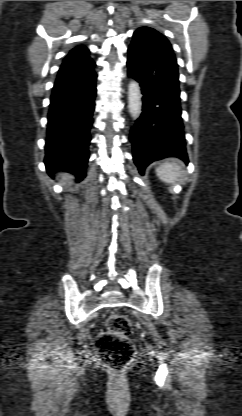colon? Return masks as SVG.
I'll return each mask as SVG.
<instances>
[{
  "mask_svg": "<svg viewBox=\"0 0 242 416\" xmlns=\"http://www.w3.org/2000/svg\"><path fill=\"white\" fill-rule=\"evenodd\" d=\"M132 323L122 313H112L106 323V330L95 341V348L107 365L122 370L134 358L135 347L130 339Z\"/></svg>",
  "mask_w": 242,
  "mask_h": 416,
  "instance_id": "obj_1",
  "label": "colon"
}]
</instances>
